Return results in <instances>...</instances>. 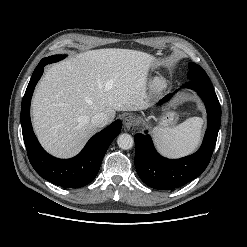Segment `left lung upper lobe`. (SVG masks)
<instances>
[{
	"label": "left lung upper lobe",
	"mask_w": 247,
	"mask_h": 247,
	"mask_svg": "<svg viewBox=\"0 0 247 247\" xmlns=\"http://www.w3.org/2000/svg\"><path fill=\"white\" fill-rule=\"evenodd\" d=\"M188 68H189V73H188L189 80H201L206 83H211L208 75L203 70V68L200 67L199 65L191 62L189 63Z\"/></svg>",
	"instance_id": "5c2ea615"
}]
</instances>
